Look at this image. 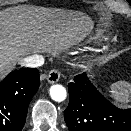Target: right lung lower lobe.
<instances>
[{
    "label": "right lung lower lobe",
    "mask_w": 131,
    "mask_h": 131,
    "mask_svg": "<svg viewBox=\"0 0 131 131\" xmlns=\"http://www.w3.org/2000/svg\"><path fill=\"white\" fill-rule=\"evenodd\" d=\"M39 83V71L35 68L15 70L0 83V131L22 130Z\"/></svg>",
    "instance_id": "right-lung-lower-lobe-1"
}]
</instances>
